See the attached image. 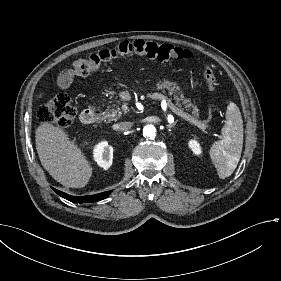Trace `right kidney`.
Here are the masks:
<instances>
[{"instance_id":"right-kidney-1","label":"right kidney","mask_w":281,"mask_h":281,"mask_svg":"<svg viewBox=\"0 0 281 281\" xmlns=\"http://www.w3.org/2000/svg\"><path fill=\"white\" fill-rule=\"evenodd\" d=\"M95 159L104 169L110 167L113 162V147L107 142L98 144L95 147Z\"/></svg>"}]
</instances>
